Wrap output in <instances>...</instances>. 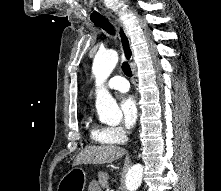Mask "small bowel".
<instances>
[{"mask_svg": "<svg viewBox=\"0 0 221 191\" xmlns=\"http://www.w3.org/2000/svg\"><path fill=\"white\" fill-rule=\"evenodd\" d=\"M89 191H101L97 182L92 181L89 185Z\"/></svg>", "mask_w": 221, "mask_h": 191, "instance_id": "1", "label": "small bowel"}]
</instances>
